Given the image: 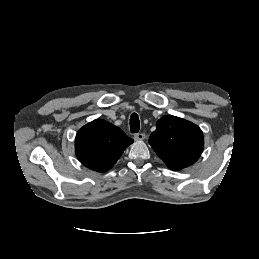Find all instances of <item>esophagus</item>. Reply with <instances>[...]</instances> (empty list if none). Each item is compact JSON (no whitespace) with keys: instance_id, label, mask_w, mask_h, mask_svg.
<instances>
[{"instance_id":"obj_1","label":"esophagus","mask_w":259,"mask_h":259,"mask_svg":"<svg viewBox=\"0 0 259 259\" xmlns=\"http://www.w3.org/2000/svg\"><path fill=\"white\" fill-rule=\"evenodd\" d=\"M134 139H135L136 141L144 140V139H145V134H143V133H136V134L134 135Z\"/></svg>"}]
</instances>
